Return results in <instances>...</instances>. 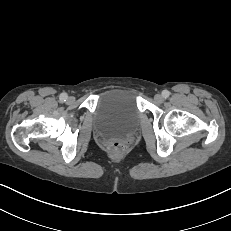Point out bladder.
I'll use <instances>...</instances> for the list:
<instances>
[{"mask_svg":"<svg viewBox=\"0 0 231 231\" xmlns=\"http://www.w3.org/2000/svg\"><path fill=\"white\" fill-rule=\"evenodd\" d=\"M137 92L114 88L97 98L93 112L94 132L102 139L120 138L131 133L140 119Z\"/></svg>","mask_w":231,"mask_h":231,"instance_id":"bladder-1","label":"bladder"}]
</instances>
